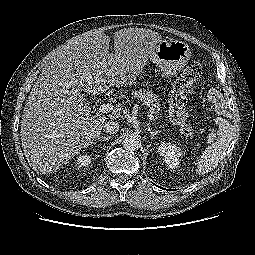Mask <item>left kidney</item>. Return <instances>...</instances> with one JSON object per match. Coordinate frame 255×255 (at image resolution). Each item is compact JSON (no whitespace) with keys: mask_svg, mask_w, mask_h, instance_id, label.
<instances>
[{"mask_svg":"<svg viewBox=\"0 0 255 255\" xmlns=\"http://www.w3.org/2000/svg\"><path fill=\"white\" fill-rule=\"evenodd\" d=\"M158 152L163 156L165 164L170 169H177L180 165L181 148L167 142H162L158 147Z\"/></svg>","mask_w":255,"mask_h":255,"instance_id":"left-kidney-1","label":"left kidney"}]
</instances>
